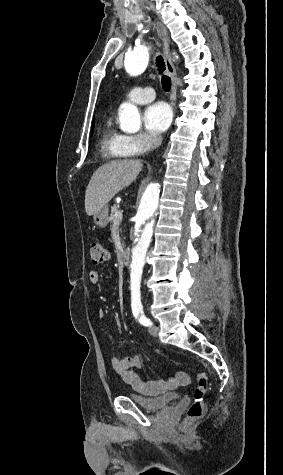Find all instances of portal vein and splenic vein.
I'll return each instance as SVG.
<instances>
[{
    "label": "portal vein and splenic vein",
    "mask_w": 283,
    "mask_h": 475,
    "mask_svg": "<svg viewBox=\"0 0 283 475\" xmlns=\"http://www.w3.org/2000/svg\"><path fill=\"white\" fill-rule=\"evenodd\" d=\"M115 216H118V218H121L122 214L121 212H116Z\"/></svg>",
    "instance_id": "obj_1"
}]
</instances>
